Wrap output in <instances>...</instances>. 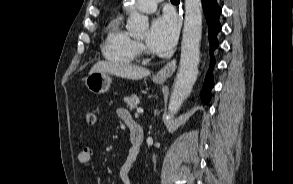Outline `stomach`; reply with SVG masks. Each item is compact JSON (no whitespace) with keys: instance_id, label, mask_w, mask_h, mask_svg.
<instances>
[{"instance_id":"0dacf381","label":"stomach","mask_w":293,"mask_h":184,"mask_svg":"<svg viewBox=\"0 0 293 184\" xmlns=\"http://www.w3.org/2000/svg\"><path fill=\"white\" fill-rule=\"evenodd\" d=\"M163 81L157 80V83H162ZM112 79L110 75L106 72H93L85 79V85L87 89L94 94H102L108 91Z\"/></svg>"}]
</instances>
